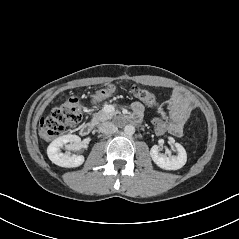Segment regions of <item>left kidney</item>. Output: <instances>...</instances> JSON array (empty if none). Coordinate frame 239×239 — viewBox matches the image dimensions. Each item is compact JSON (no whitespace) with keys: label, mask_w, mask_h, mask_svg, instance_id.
Masks as SVG:
<instances>
[{"label":"left kidney","mask_w":239,"mask_h":239,"mask_svg":"<svg viewBox=\"0 0 239 239\" xmlns=\"http://www.w3.org/2000/svg\"><path fill=\"white\" fill-rule=\"evenodd\" d=\"M175 147L178 151L177 156H168L164 153L160 152V147L158 145H154L150 150V156L154 163L162 169L165 170H177L182 168L187 161V154L184 147L175 143Z\"/></svg>","instance_id":"1"}]
</instances>
